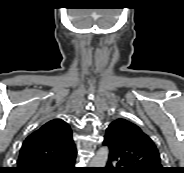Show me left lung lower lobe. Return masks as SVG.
<instances>
[{
  "mask_svg": "<svg viewBox=\"0 0 184 173\" xmlns=\"http://www.w3.org/2000/svg\"><path fill=\"white\" fill-rule=\"evenodd\" d=\"M104 145L107 146V144L104 142ZM117 161L116 167H114L113 162ZM122 160L109 149V159L107 167L103 168L101 170V173H131L125 166Z\"/></svg>",
  "mask_w": 184,
  "mask_h": 173,
  "instance_id": "0a47b994",
  "label": "left lung lower lobe"
}]
</instances>
